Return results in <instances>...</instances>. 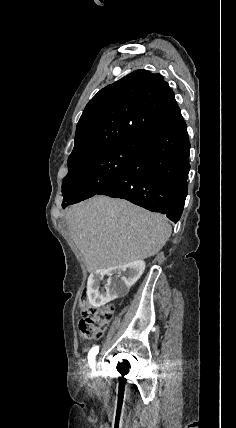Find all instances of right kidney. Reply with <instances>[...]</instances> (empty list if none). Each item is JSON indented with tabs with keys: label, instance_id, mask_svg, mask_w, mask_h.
Instances as JSON below:
<instances>
[{
	"label": "right kidney",
	"instance_id": "1",
	"mask_svg": "<svg viewBox=\"0 0 236 428\" xmlns=\"http://www.w3.org/2000/svg\"><path fill=\"white\" fill-rule=\"evenodd\" d=\"M146 264L144 260H134L121 269H93L89 276L87 286V296L92 306H108L110 301L120 298L121 300L129 299V290L140 276H142ZM116 277L115 283H104L110 277Z\"/></svg>",
	"mask_w": 236,
	"mask_h": 428
}]
</instances>
